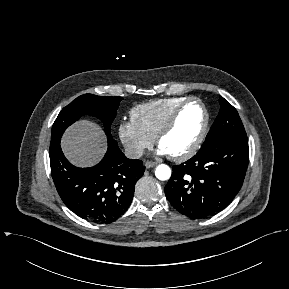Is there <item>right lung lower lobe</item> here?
I'll list each match as a JSON object with an SVG mask.
<instances>
[{"label": "right lung lower lobe", "mask_w": 289, "mask_h": 289, "mask_svg": "<svg viewBox=\"0 0 289 289\" xmlns=\"http://www.w3.org/2000/svg\"><path fill=\"white\" fill-rule=\"evenodd\" d=\"M107 139V153L91 168L70 164L60 144L49 153L52 178L64 204L81 218L106 224L130 206L135 183L145 170L141 160L126 158L112 136Z\"/></svg>", "instance_id": "98d812e1"}]
</instances>
